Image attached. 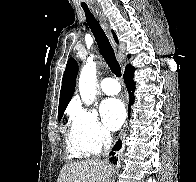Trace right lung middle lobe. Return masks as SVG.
Masks as SVG:
<instances>
[{
  "instance_id": "right-lung-middle-lobe-1",
  "label": "right lung middle lobe",
  "mask_w": 196,
  "mask_h": 182,
  "mask_svg": "<svg viewBox=\"0 0 196 182\" xmlns=\"http://www.w3.org/2000/svg\"><path fill=\"white\" fill-rule=\"evenodd\" d=\"M63 115H58V120L60 121Z\"/></svg>"
}]
</instances>
